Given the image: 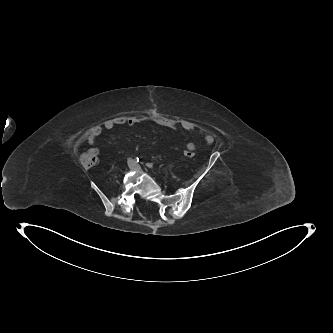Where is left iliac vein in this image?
<instances>
[{
	"label": "left iliac vein",
	"instance_id": "4c4485c4",
	"mask_svg": "<svg viewBox=\"0 0 333 333\" xmlns=\"http://www.w3.org/2000/svg\"><path fill=\"white\" fill-rule=\"evenodd\" d=\"M136 170H138L139 172H143V169L140 166H137Z\"/></svg>",
	"mask_w": 333,
	"mask_h": 333
}]
</instances>
